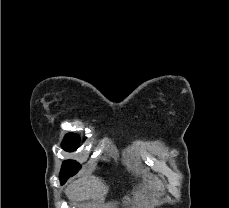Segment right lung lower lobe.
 <instances>
[{
    "mask_svg": "<svg viewBox=\"0 0 229 208\" xmlns=\"http://www.w3.org/2000/svg\"><path fill=\"white\" fill-rule=\"evenodd\" d=\"M67 179H68L67 177H60V181H61L62 184L65 183V181H66Z\"/></svg>",
    "mask_w": 229,
    "mask_h": 208,
    "instance_id": "98d812e1",
    "label": "right lung lower lobe"
}]
</instances>
